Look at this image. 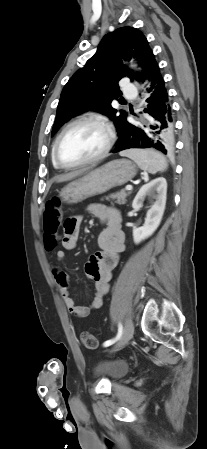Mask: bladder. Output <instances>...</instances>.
<instances>
[{
    "mask_svg": "<svg viewBox=\"0 0 207 449\" xmlns=\"http://www.w3.org/2000/svg\"><path fill=\"white\" fill-rule=\"evenodd\" d=\"M129 366L124 361H100L93 368V374L108 380H117L127 374Z\"/></svg>",
    "mask_w": 207,
    "mask_h": 449,
    "instance_id": "obj_1",
    "label": "bladder"
}]
</instances>
